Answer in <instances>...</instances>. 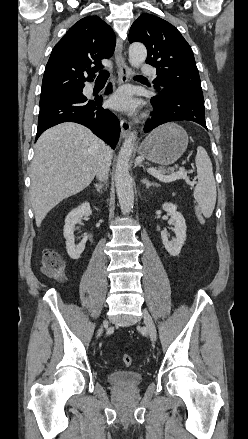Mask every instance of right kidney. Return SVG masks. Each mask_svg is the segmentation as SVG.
I'll list each match as a JSON object with an SVG mask.
<instances>
[{
	"label": "right kidney",
	"mask_w": 248,
	"mask_h": 439,
	"mask_svg": "<svg viewBox=\"0 0 248 439\" xmlns=\"http://www.w3.org/2000/svg\"><path fill=\"white\" fill-rule=\"evenodd\" d=\"M92 209L89 202H84L77 208L68 213L65 219L63 235L66 239V250L71 259L77 260L85 249L87 236H84L78 245H75L74 229L75 225L81 222L84 216H90Z\"/></svg>",
	"instance_id": "ca27d5eb"
}]
</instances>
